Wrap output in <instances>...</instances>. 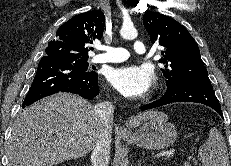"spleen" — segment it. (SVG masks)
<instances>
[{
  "instance_id": "3e777b00",
  "label": "spleen",
  "mask_w": 231,
  "mask_h": 166,
  "mask_svg": "<svg viewBox=\"0 0 231 166\" xmlns=\"http://www.w3.org/2000/svg\"><path fill=\"white\" fill-rule=\"evenodd\" d=\"M198 157L203 166H230L225 140L217 128L210 129L207 141L198 150Z\"/></svg>"
}]
</instances>
